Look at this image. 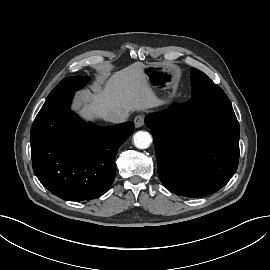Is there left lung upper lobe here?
Listing matches in <instances>:
<instances>
[{"instance_id":"5c2ea615","label":"left lung upper lobe","mask_w":270,"mask_h":270,"mask_svg":"<svg viewBox=\"0 0 270 270\" xmlns=\"http://www.w3.org/2000/svg\"><path fill=\"white\" fill-rule=\"evenodd\" d=\"M191 86L201 100L204 109L213 106H231L224 91L216 85L206 74L191 68Z\"/></svg>"}]
</instances>
